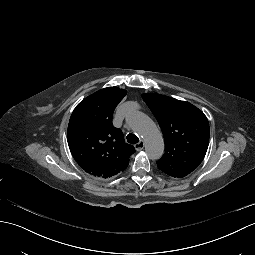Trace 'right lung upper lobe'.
<instances>
[{
    "label": "right lung upper lobe",
    "instance_id": "right-lung-upper-lobe-1",
    "mask_svg": "<svg viewBox=\"0 0 255 255\" xmlns=\"http://www.w3.org/2000/svg\"><path fill=\"white\" fill-rule=\"evenodd\" d=\"M126 95L117 87L97 91L74 109L67 131L70 151L78 165L96 178H110L128 166L133 146L112 124L113 111Z\"/></svg>",
    "mask_w": 255,
    "mask_h": 255
}]
</instances>
